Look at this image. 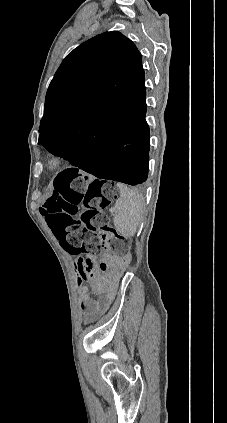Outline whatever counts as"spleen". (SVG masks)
Masks as SVG:
<instances>
[{
	"instance_id": "obj_1",
	"label": "spleen",
	"mask_w": 227,
	"mask_h": 423,
	"mask_svg": "<svg viewBox=\"0 0 227 423\" xmlns=\"http://www.w3.org/2000/svg\"><path fill=\"white\" fill-rule=\"evenodd\" d=\"M120 190V198H118L115 208L114 225L121 235L131 237L137 231V225L143 213L144 202L141 194H137L134 190H130L123 184H117Z\"/></svg>"
}]
</instances>
